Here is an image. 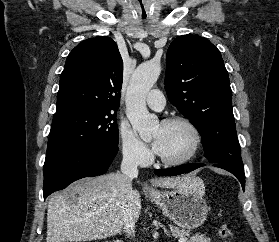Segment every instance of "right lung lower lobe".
I'll use <instances>...</instances> for the list:
<instances>
[{
  "instance_id": "right-lung-lower-lobe-1",
  "label": "right lung lower lobe",
  "mask_w": 279,
  "mask_h": 242,
  "mask_svg": "<svg viewBox=\"0 0 279 242\" xmlns=\"http://www.w3.org/2000/svg\"><path fill=\"white\" fill-rule=\"evenodd\" d=\"M118 148L83 149L62 155L43 167V197L64 189L70 183L83 177L106 173Z\"/></svg>"
}]
</instances>
